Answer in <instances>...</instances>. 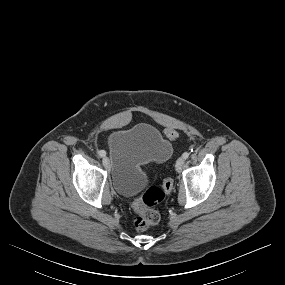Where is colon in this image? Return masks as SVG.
<instances>
[{"mask_svg":"<svg viewBox=\"0 0 285 285\" xmlns=\"http://www.w3.org/2000/svg\"><path fill=\"white\" fill-rule=\"evenodd\" d=\"M165 135L169 141H175L178 138V133L174 129H167ZM172 188L173 181L167 178L163 181L162 187H149L134 201L133 224L138 231H144L159 223L160 214L154 207Z\"/></svg>","mask_w":285,"mask_h":285,"instance_id":"5ec220e1","label":"colon"}]
</instances>
